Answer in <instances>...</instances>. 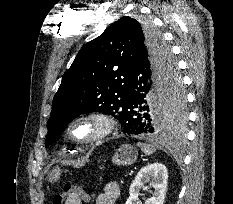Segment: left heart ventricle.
I'll list each match as a JSON object with an SVG mask.
<instances>
[{
	"label": "left heart ventricle",
	"instance_id": "b2bd125f",
	"mask_svg": "<svg viewBox=\"0 0 233 204\" xmlns=\"http://www.w3.org/2000/svg\"><path fill=\"white\" fill-rule=\"evenodd\" d=\"M97 130V127L93 124H79L73 130V135L78 139L87 138L93 135Z\"/></svg>",
	"mask_w": 233,
	"mask_h": 204
}]
</instances>
